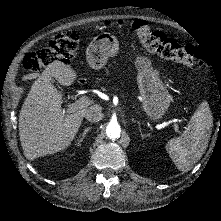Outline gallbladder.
I'll use <instances>...</instances> for the list:
<instances>
[{
  "mask_svg": "<svg viewBox=\"0 0 221 221\" xmlns=\"http://www.w3.org/2000/svg\"><path fill=\"white\" fill-rule=\"evenodd\" d=\"M52 86H53V88H55V89L58 91V93L62 96V92L58 90V88H57V86H56V84H55L54 82H53Z\"/></svg>",
  "mask_w": 221,
  "mask_h": 221,
  "instance_id": "gallbladder-1",
  "label": "gallbladder"
}]
</instances>
